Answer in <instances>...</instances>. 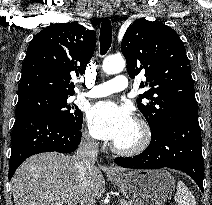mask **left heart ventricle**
<instances>
[{"label": "left heart ventricle", "mask_w": 212, "mask_h": 205, "mask_svg": "<svg viewBox=\"0 0 212 205\" xmlns=\"http://www.w3.org/2000/svg\"><path fill=\"white\" fill-rule=\"evenodd\" d=\"M139 138V130L136 124L132 126V128L119 140L115 143L120 146H130L133 145Z\"/></svg>", "instance_id": "b2bd125f"}]
</instances>
